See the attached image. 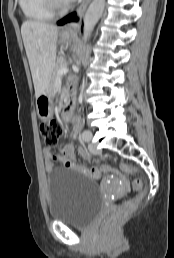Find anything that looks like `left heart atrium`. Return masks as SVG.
I'll return each instance as SVG.
<instances>
[{
    "mask_svg": "<svg viewBox=\"0 0 174 258\" xmlns=\"http://www.w3.org/2000/svg\"><path fill=\"white\" fill-rule=\"evenodd\" d=\"M66 1H68V2H72V1H75V0H66Z\"/></svg>",
    "mask_w": 174,
    "mask_h": 258,
    "instance_id": "1",
    "label": "left heart atrium"
}]
</instances>
